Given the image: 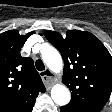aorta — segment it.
<instances>
[{
	"label": "aorta",
	"mask_w": 112,
	"mask_h": 112,
	"mask_svg": "<svg viewBox=\"0 0 112 112\" xmlns=\"http://www.w3.org/2000/svg\"><path fill=\"white\" fill-rule=\"evenodd\" d=\"M44 63L53 72L59 73L63 69V61L59 52L50 45H45L41 51ZM51 97L59 106H65L70 102L71 95L68 88L63 84H56L51 89Z\"/></svg>",
	"instance_id": "1"
}]
</instances>
